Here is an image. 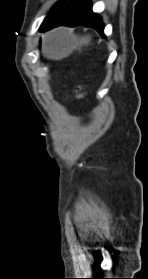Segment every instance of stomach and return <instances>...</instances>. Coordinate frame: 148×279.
<instances>
[{
    "label": "stomach",
    "instance_id": "obj_1",
    "mask_svg": "<svg viewBox=\"0 0 148 279\" xmlns=\"http://www.w3.org/2000/svg\"><path fill=\"white\" fill-rule=\"evenodd\" d=\"M57 39L48 45V50H39V55H43L44 59H61L74 49H80L82 45H87L89 38L78 39L72 34L63 32L57 33ZM42 48V45H39Z\"/></svg>",
    "mask_w": 148,
    "mask_h": 279
}]
</instances>
